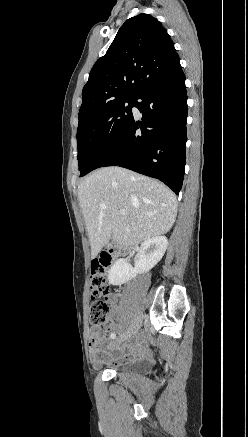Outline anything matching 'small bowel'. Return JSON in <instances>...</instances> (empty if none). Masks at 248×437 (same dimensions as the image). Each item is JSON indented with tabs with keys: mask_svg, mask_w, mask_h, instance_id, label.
Instances as JSON below:
<instances>
[{
	"mask_svg": "<svg viewBox=\"0 0 248 437\" xmlns=\"http://www.w3.org/2000/svg\"><path fill=\"white\" fill-rule=\"evenodd\" d=\"M108 301L111 306H115L118 298L115 294H111L108 297ZM114 328V322H110L107 325V330L109 331L114 330ZM89 338L91 359L95 366L114 360L126 361L133 358L145 357L149 353L146 337L142 333H135L128 343L117 348L113 347L112 344L107 341L106 337L98 328L90 330Z\"/></svg>",
	"mask_w": 248,
	"mask_h": 437,
	"instance_id": "1",
	"label": "small bowel"
}]
</instances>
